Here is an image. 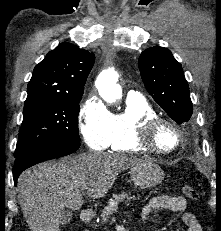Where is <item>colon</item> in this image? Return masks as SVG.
I'll use <instances>...</instances> for the list:
<instances>
[{
	"label": "colon",
	"instance_id": "colon-1",
	"mask_svg": "<svg viewBox=\"0 0 221 231\" xmlns=\"http://www.w3.org/2000/svg\"><path fill=\"white\" fill-rule=\"evenodd\" d=\"M182 191L185 194V196H187L188 198H190L192 200H196L198 198L197 191L193 187H191L190 185H184L182 187Z\"/></svg>",
	"mask_w": 221,
	"mask_h": 231
}]
</instances>
